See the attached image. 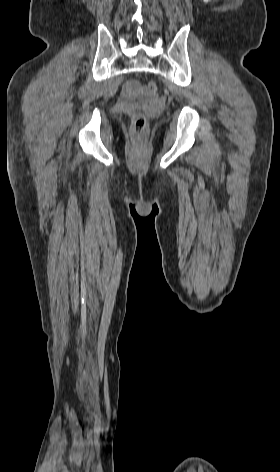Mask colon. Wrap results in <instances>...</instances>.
Masks as SVG:
<instances>
[{"mask_svg":"<svg viewBox=\"0 0 280 472\" xmlns=\"http://www.w3.org/2000/svg\"><path fill=\"white\" fill-rule=\"evenodd\" d=\"M147 90L151 93L157 91V84L153 81L147 84ZM148 128L147 119L144 114L135 112L132 114V131L137 138H143Z\"/></svg>","mask_w":280,"mask_h":472,"instance_id":"1","label":"colon"}]
</instances>
